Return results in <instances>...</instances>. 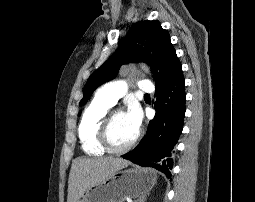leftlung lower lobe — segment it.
<instances>
[{
  "instance_id": "left-lung-lower-lobe-1",
  "label": "left lung lower lobe",
  "mask_w": 255,
  "mask_h": 202,
  "mask_svg": "<svg viewBox=\"0 0 255 202\" xmlns=\"http://www.w3.org/2000/svg\"><path fill=\"white\" fill-rule=\"evenodd\" d=\"M154 108L157 111L150 121L146 136L129 153L123 156L144 167H153L171 177L173 154L183 129L185 117V85L183 73L166 87L156 89Z\"/></svg>"
}]
</instances>
